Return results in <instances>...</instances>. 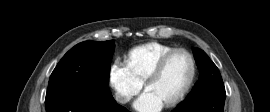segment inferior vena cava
Segmentation results:
<instances>
[{"label":"inferior vena cava","mask_w":270,"mask_h":112,"mask_svg":"<svg viewBox=\"0 0 270 112\" xmlns=\"http://www.w3.org/2000/svg\"><path fill=\"white\" fill-rule=\"evenodd\" d=\"M129 100H130V97L128 96H121V95L116 96V101L122 104L127 103Z\"/></svg>","instance_id":"obj_1"}]
</instances>
